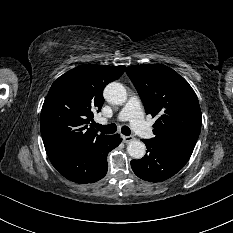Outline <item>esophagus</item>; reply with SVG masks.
<instances>
[{
  "instance_id": "34e87169",
  "label": "esophagus",
  "mask_w": 233,
  "mask_h": 233,
  "mask_svg": "<svg viewBox=\"0 0 233 233\" xmlns=\"http://www.w3.org/2000/svg\"><path fill=\"white\" fill-rule=\"evenodd\" d=\"M122 140H123L124 143H129L132 140H134V137L133 136H125V135H123L122 136Z\"/></svg>"
}]
</instances>
